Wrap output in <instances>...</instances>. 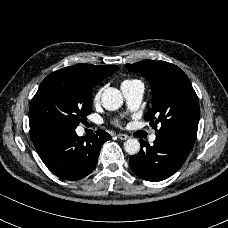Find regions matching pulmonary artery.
Listing matches in <instances>:
<instances>
[{
    "label": "pulmonary artery",
    "instance_id": "obj_1",
    "mask_svg": "<svg viewBox=\"0 0 228 228\" xmlns=\"http://www.w3.org/2000/svg\"><path fill=\"white\" fill-rule=\"evenodd\" d=\"M121 90L126 100L129 109H135L142 101L144 94V84L140 80H133L130 82H124L121 84ZM156 140V133H152L149 136L150 143Z\"/></svg>",
    "mask_w": 228,
    "mask_h": 228
}]
</instances>
